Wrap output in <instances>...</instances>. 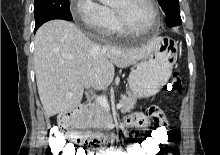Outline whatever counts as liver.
<instances>
[{
  "instance_id": "obj_1",
  "label": "liver",
  "mask_w": 220,
  "mask_h": 155,
  "mask_svg": "<svg viewBox=\"0 0 220 155\" xmlns=\"http://www.w3.org/2000/svg\"><path fill=\"white\" fill-rule=\"evenodd\" d=\"M34 44L38 93L45 116L51 117L77 107L84 87L105 90L115 66L125 68L147 58L158 39L143 48L120 50L91 41L71 22L51 20L37 30Z\"/></svg>"
}]
</instances>
